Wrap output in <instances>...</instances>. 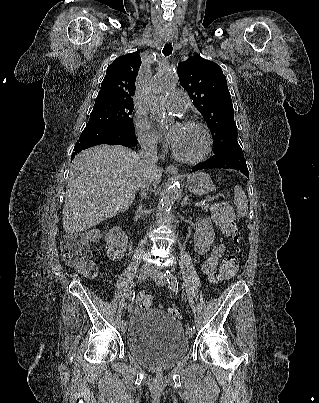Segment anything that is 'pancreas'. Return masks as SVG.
Listing matches in <instances>:
<instances>
[{
	"label": "pancreas",
	"instance_id": "cf45deb5",
	"mask_svg": "<svg viewBox=\"0 0 319 403\" xmlns=\"http://www.w3.org/2000/svg\"><path fill=\"white\" fill-rule=\"evenodd\" d=\"M201 208L204 210V211H208V208H209V205L208 204H204V205H201Z\"/></svg>",
	"mask_w": 319,
	"mask_h": 403
}]
</instances>
